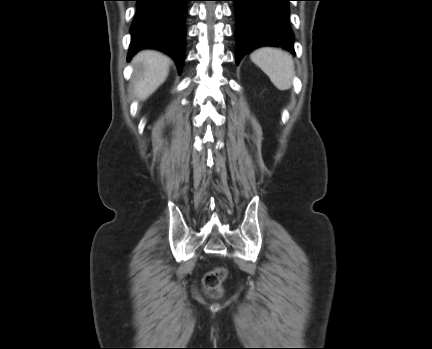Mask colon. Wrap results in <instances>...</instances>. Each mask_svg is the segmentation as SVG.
Here are the masks:
<instances>
[{"label":"colon","mask_w":432,"mask_h":349,"mask_svg":"<svg viewBox=\"0 0 432 349\" xmlns=\"http://www.w3.org/2000/svg\"><path fill=\"white\" fill-rule=\"evenodd\" d=\"M225 277L226 271L224 268L218 267L209 271L204 276V286L208 293L211 295L219 294Z\"/></svg>","instance_id":"colon-1"}]
</instances>
